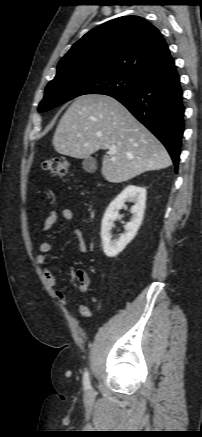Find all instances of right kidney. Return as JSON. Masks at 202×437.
I'll return each instance as SVG.
<instances>
[{
  "label": "right kidney",
  "instance_id": "1",
  "mask_svg": "<svg viewBox=\"0 0 202 437\" xmlns=\"http://www.w3.org/2000/svg\"><path fill=\"white\" fill-rule=\"evenodd\" d=\"M133 201L134 205L130 212L133 214L132 219L125 225V233L118 240H111V229L116 219H119V210L124 206L126 201ZM146 202V189L129 185L111 202L107 208L101 227V238L103 250L106 256L115 257L122 252L125 247L135 237L144 216Z\"/></svg>",
  "mask_w": 202,
  "mask_h": 437
}]
</instances>
